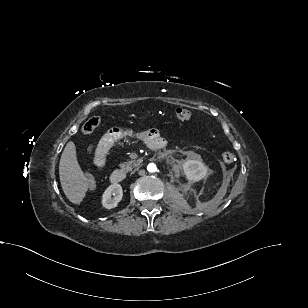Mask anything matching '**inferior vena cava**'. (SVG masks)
Instances as JSON below:
<instances>
[{"label":"inferior vena cava","mask_w":308,"mask_h":308,"mask_svg":"<svg viewBox=\"0 0 308 308\" xmlns=\"http://www.w3.org/2000/svg\"><path fill=\"white\" fill-rule=\"evenodd\" d=\"M138 172H139L138 169L135 168V169H133V170L131 171V174H132V175H136V174H138Z\"/></svg>","instance_id":"1"}]
</instances>
